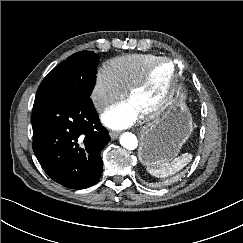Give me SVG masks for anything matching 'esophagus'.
<instances>
[{
  "instance_id": "34e87169",
  "label": "esophagus",
  "mask_w": 243,
  "mask_h": 243,
  "mask_svg": "<svg viewBox=\"0 0 243 243\" xmlns=\"http://www.w3.org/2000/svg\"><path fill=\"white\" fill-rule=\"evenodd\" d=\"M109 134H110V137H111L112 140L117 139L118 136H119V133L115 132V131H111Z\"/></svg>"
}]
</instances>
